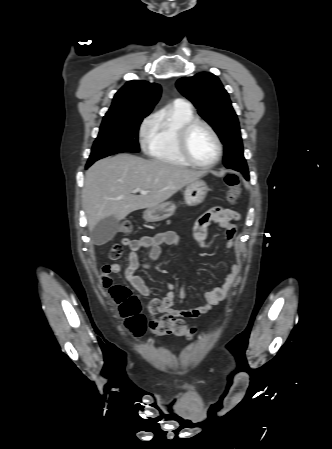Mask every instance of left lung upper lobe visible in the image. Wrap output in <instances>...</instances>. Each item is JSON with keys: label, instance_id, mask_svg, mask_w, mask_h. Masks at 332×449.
Returning <instances> with one entry per match:
<instances>
[{"label": "left lung upper lobe", "instance_id": "5c2ea615", "mask_svg": "<svg viewBox=\"0 0 332 449\" xmlns=\"http://www.w3.org/2000/svg\"><path fill=\"white\" fill-rule=\"evenodd\" d=\"M176 85L181 94L195 105L199 115L218 134L224 144L225 166L241 172L246 179H249L237 115L218 77L208 72H201L193 77L179 79Z\"/></svg>", "mask_w": 332, "mask_h": 449}]
</instances>
